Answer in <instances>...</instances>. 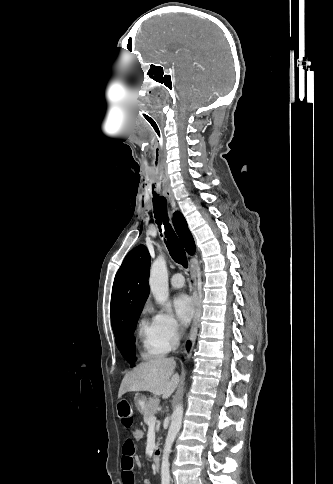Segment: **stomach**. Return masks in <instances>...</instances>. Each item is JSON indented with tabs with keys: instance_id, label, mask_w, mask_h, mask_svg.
Listing matches in <instances>:
<instances>
[{
	"instance_id": "obj_1",
	"label": "stomach",
	"mask_w": 333,
	"mask_h": 484,
	"mask_svg": "<svg viewBox=\"0 0 333 484\" xmlns=\"http://www.w3.org/2000/svg\"><path fill=\"white\" fill-rule=\"evenodd\" d=\"M149 399L140 394H136L134 398L135 406L140 413H143L147 407Z\"/></svg>"
}]
</instances>
